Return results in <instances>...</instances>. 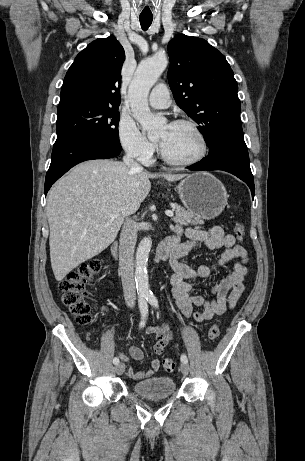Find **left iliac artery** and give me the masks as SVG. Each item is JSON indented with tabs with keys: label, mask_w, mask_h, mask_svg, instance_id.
Returning a JSON list of instances; mask_svg holds the SVG:
<instances>
[{
	"label": "left iliac artery",
	"mask_w": 305,
	"mask_h": 461,
	"mask_svg": "<svg viewBox=\"0 0 305 461\" xmlns=\"http://www.w3.org/2000/svg\"><path fill=\"white\" fill-rule=\"evenodd\" d=\"M146 298H147V301H148L152 306H154V307H156V308L159 306L158 300H157V298H156L155 295L150 294V295H147ZM180 359H181V362H182V363H188V359H187V356H186L185 354H182Z\"/></svg>",
	"instance_id": "left-iliac-artery-1"
}]
</instances>
